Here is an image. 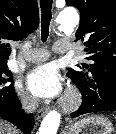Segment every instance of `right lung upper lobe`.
<instances>
[{
    "label": "right lung upper lobe",
    "instance_id": "cb5924a9",
    "mask_svg": "<svg viewBox=\"0 0 116 134\" xmlns=\"http://www.w3.org/2000/svg\"><path fill=\"white\" fill-rule=\"evenodd\" d=\"M38 25L37 0H0V65L7 64L9 41L26 38Z\"/></svg>",
    "mask_w": 116,
    "mask_h": 134
}]
</instances>
